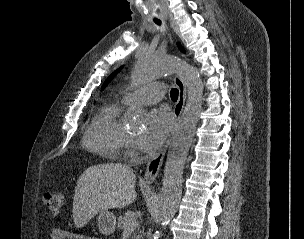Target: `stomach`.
<instances>
[{
	"label": "stomach",
	"mask_w": 304,
	"mask_h": 239,
	"mask_svg": "<svg viewBox=\"0 0 304 239\" xmlns=\"http://www.w3.org/2000/svg\"><path fill=\"white\" fill-rule=\"evenodd\" d=\"M97 226L101 234L106 236L111 235L116 228L115 215L107 210L100 212L97 217Z\"/></svg>",
	"instance_id": "obj_1"
}]
</instances>
